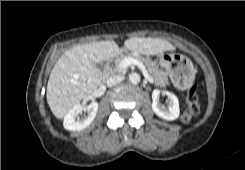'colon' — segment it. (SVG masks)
Returning a JSON list of instances; mask_svg holds the SVG:
<instances>
[{"mask_svg":"<svg viewBox=\"0 0 245 170\" xmlns=\"http://www.w3.org/2000/svg\"><path fill=\"white\" fill-rule=\"evenodd\" d=\"M192 70V64L190 61L183 57H178L176 64L174 65V82L177 85H183L189 77ZM186 103L187 107L185 112L181 116V121L188 122L193 116H196L200 112V104L198 97L195 93L194 85L189 82L187 84Z\"/></svg>","mask_w":245,"mask_h":170,"instance_id":"obj_1","label":"colon"}]
</instances>
